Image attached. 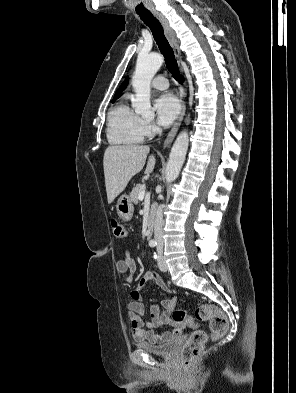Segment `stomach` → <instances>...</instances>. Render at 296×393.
<instances>
[{
    "instance_id": "obj_1",
    "label": "stomach",
    "mask_w": 296,
    "mask_h": 393,
    "mask_svg": "<svg viewBox=\"0 0 296 393\" xmlns=\"http://www.w3.org/2000/svg\"><path fill=\"white\" fill-rule=\"evenodd\" d=\"M117 215L122 221H130L133 216L134 206L128 195H122L116 204Z\"/></svg>"
}]
</instances>
